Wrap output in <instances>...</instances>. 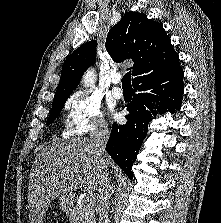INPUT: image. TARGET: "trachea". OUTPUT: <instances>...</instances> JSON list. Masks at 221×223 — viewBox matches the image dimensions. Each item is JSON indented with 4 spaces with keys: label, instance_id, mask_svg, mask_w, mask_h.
Returning <instances> with one entry per match:
<instances>
[{
    "label": "trachea",
    "instance_id": "trachea-1",
    "mask_svg": "<svg viewBox=\"0 0 221 223\" xmlns=\"http://www.w3.org/2000/svg\"><path fill=\"white\" fill-rule=\"evenodd\" d=\"M123 88H132L131 85V72H127L122 78Z\"/></svg>",
    "mask_w": 221,
    "mask_h": 223
}]
</instances>
